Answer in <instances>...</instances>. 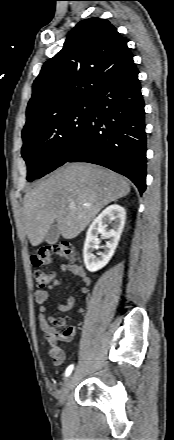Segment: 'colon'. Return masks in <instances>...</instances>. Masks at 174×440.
I'll list each match as a JSON object with an SVG mask.
<instances>
[{"label":"colon","mask_w":174,"mask_h":440,"mask_svg":"<svg viewBox=\"0 0 174 440\" xmlns=\"http://www.w3.org/2000/svg\"><path fill=\"white\" fill-rule=\"evenodd\" d=\"M54 258H61L67 260H74L76 253L73 246L67 242H58L54 244H48L37 249L31 256L32 264L39 268L49 265ZM34 278L36 285L43 289L49 286L53 279L54 273L37 269L34 272ZM52 324L59 331L53 333V339L67 342L72 336V328L65 326V321L62 318H53Z\"/></svg>","instance_id":"5ec220e1"}]
</instances>
